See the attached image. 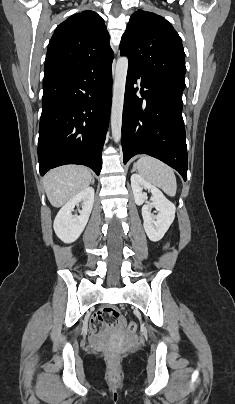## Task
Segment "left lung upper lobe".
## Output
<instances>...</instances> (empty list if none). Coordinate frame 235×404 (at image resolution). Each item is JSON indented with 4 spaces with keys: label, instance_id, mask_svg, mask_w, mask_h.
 Listing matches in <instances>:
<instances>
[{
    "label": "left lung upper lobe",
    "instance_id": "1",
    "mask_svg": "<svg viewBox=\"0 0 235 404\" xmlns=\"http://www.w3.org/2000/svg\"><path fill=\"white\" fill-rule=\"evenodd\" d=\"M119 49L122 56L128 57L129 67L184 90L186 67L182 41L162 16L143 10L134 12Z\"/></svg>",
    "mask_w": 235,
    "mask_h": 404
}]
</instances>
